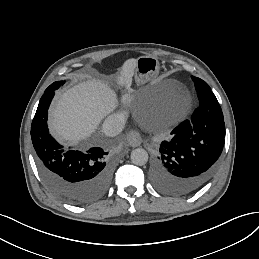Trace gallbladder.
I'll return each mask as SVG.
<instances>
[{"label": "gallbladder", "instance_id": "1", "mask_svg": "<svg viewBox=\"0 0 259 259\" xmlns=\"http://www.w3.org/2000/svg\"><path fill=\"white\" fill-rule=\"evenodd\" d=\"M140 104H146L145 100L142 99V100L140 101Z\"/></svg>", "mask_w": 259, "mask_h": 259}]
</instances>
